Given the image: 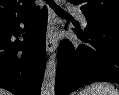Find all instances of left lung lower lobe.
Returning <instances> with one entry per match:
<instances>
[{"label":"left lung lower lobe","mask_w":119,"mask_h":95,"mask_svg":"<svg viewBox=\"0 0 119 95\" xmlns=\"http://www.w3.org/2000/svg\"><path fill=\"white\" fill-rule=\"evenodd\" d=\"M74 29L83 44L64 40L59 46L56 95H67L99 82L119 83V25L90 21Z\"/></svg>","instance_id":"0a47b994"}]
</instances>
